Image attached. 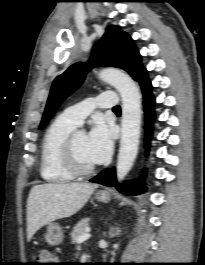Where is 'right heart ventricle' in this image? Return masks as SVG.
<instances>
[{"instance_id":"obj_1","label":"right heart ventricle","mask_w":205,"mask_h":265,"mask_svg":"<svg viewBox=\"0 0 205 265\" xmlns=\"http://www.w3.org/2000/svg\"><path fill=\"white\" fill-rule=\"evenodd\" d=\"M77 125L63 115L58 116L47 128L41 145V177L49 183H66L74 175L63 160L65 142Z\"/></svg>"}]
</instances>
